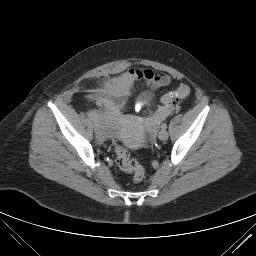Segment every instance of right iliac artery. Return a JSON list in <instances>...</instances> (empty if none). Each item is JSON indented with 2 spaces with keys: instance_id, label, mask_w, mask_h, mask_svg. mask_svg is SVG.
Returning <instances> with one entry per match:
<instances>
[{
  "instance_id": "82829eb1",
  "label": "right iliac artery",
  "mask_w": 256,
  "mask_h": 256,
  "mask_svg": "<svg viewBox=\"0 0 256 256\" xmlns=\"http://www.w3.org/2000/svg\"><path fill=\"white\" fill-rule=\"evenodd\" d=\"M87 115H88V117H89L91 120H93V121H95V120L97 119L96 114H95L94 112H92V111H89V112L87 113Z\"/></svg>"
}]
</instances>
